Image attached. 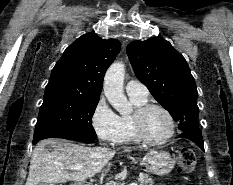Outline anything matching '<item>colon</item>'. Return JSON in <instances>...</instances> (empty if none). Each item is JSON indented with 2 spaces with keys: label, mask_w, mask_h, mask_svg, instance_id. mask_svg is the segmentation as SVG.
Here are the masks:
<instances>
[{
  "label": "colon",
  "mask_w": 233,
  "mask_h": 185,
  "mask_svg": "<svg viewBox=\"0 0 233 185\" xmlns=\"http://www.w3.org/2000/svg\"><path fill=\"white\" fill-rule=\"evenodd\" d=\"M178 167L183 173H190L195 165V153L192 148L183 147L181 148L178 155Z\"/></svg>",
  "instance_id": "1"
}]
</instances>
